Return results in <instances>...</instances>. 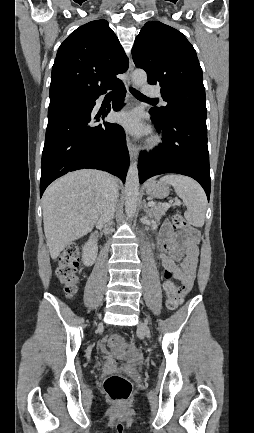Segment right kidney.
<instances>
[{
  "mask_svg": "<svg viewBox=\"0 0 254 433\" xmlns=\"http://www.w3.org/2000/svg\"><path fill=\"white\" fill-rule=\"evenodd\" d=\"M98 247L89 240L83 247L82 260L84 265L92 266L97 258Z\"/></svg>",
  "mask_w": 254,
  "mask_h": 433,
  "instance_id": "1",
  "label": "right kidney"
}]
</instances>
